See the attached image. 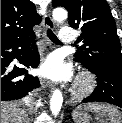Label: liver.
Returning a JSON list of instances; mask_svg holds the SVG:
<instances>
[{
    "mask_svg": "<svg viewBox=\"0 0 122 123\" xmlns=\"http://www.w3.org/2000/svg\"><path fill=\"white\" fill-rule=\"evenodd\" d=\"M26 111L12 102L1 101V123H27Z\"/></svg>",
    "mask_w": 122,
    "mask_h": 123,
    "instance_id": "liver-1",
    "label": "liver"
}]
</instances>
